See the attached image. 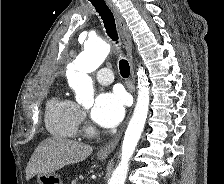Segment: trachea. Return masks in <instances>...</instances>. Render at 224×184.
<instances>
[{
    "instance_id": "3493384b",
    "label": "trachea",
    "mask_w": 224,
    "mask_h": 184,
    "mask_svg": "<svg viewBox=\"0 0 224 184\" xmlns=\"http://www.w3.org/2000/svg\"><path fill=\"white\" fill-rule=\"evenodd\" d=\"M90 2L95 7V10L98 12L101 19L103 20L106 33L108 34V36L113 41H116V43H118V33L116 30L115 19L111 10L106 5L105 1L104 0H90ZM119 69H120V74L123 78L129 77L130 66L126 60L124 59L120 60Z\"/></svg>"
}]
</instances>
